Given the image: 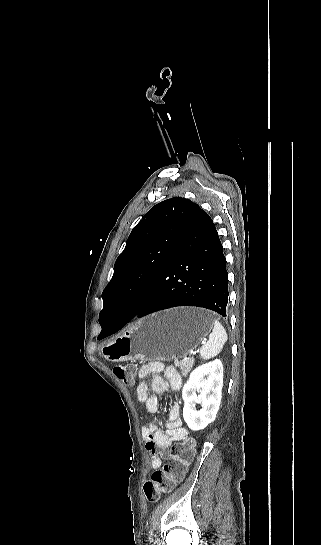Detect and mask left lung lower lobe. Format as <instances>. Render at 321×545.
Returning a JSON list of instances; mask_svg holds the SVG:
<instances>
[{"instance_id": "obj_1", "label": "left lung lower lobe", "mask_w": 321, "mask_h": 545, "mask_svg": "<svg viewBox=\"0 0 321 545\" xmlns=\"http://www.w3.org/2000/svg\"><path fill=\"white\" fill-rule=\"evenodd\" d=\"M227 281L226 258L215 225L197 205L147 298L133 312L113 310L103 325V337L135 316L177 306L203 307L225 317Z\"/></svg>"}]
</instances>
